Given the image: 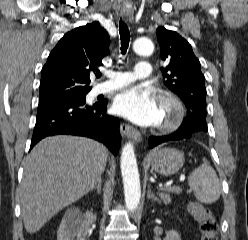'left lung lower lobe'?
<instances>
[{"mask_svg":"<svg viewBox=\"0 0 248 240\" xmlns=\"http://www.w3.org/2000/svg\"><path fill=\"white\" fill-rule=\"evenodd\" d=\"M191 138V132L186 131H179L177 130L173 134L167 135V136H160V137H150L149 138V147L153 148L157 146L158 144H161L163 142L167 141H174V140H182V139H189Z\"/></svg>","mask_w":248,"mask_h":240,"instance_id":"obj_1","label":"left lung lower lobe"}]
</instances>
